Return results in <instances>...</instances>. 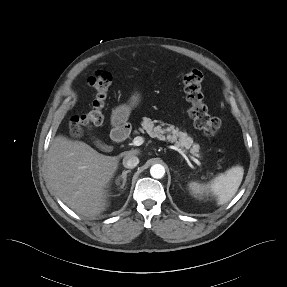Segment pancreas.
I'll return each instance as SVG.
<instances>
[{
    "instance_id": "obj_1",
    "label": "pancreas",
    "mask_w": 287,
    "mask_h": 287,
    "mask_svg": "<svg viewBox=\"0 0 287 287\" xmlns=\"http://www.w3.org/2000/svg\"><path fill=\"white\" fill-rule=\"evenodd\" d=\"M160 123L155 126V123ZM143 129L152 137L158 138L159 140H168L171 143H175L176 146L180 147L184 151L189 150L191 153V158L201 157L199 150V144H195L193 142V138L188 136L186 132H182L179 128H175L174 125L165 124L161 121L154 120L152 121L150 118L144 117L141 123ZM168 125L167 128H163V126ZM167 134V136H165Z\"/></svg>"
}]
</instances>
